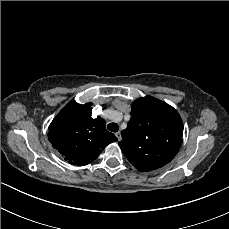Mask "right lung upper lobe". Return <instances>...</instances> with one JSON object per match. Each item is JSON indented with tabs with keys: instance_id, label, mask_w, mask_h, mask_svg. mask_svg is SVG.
Instances as JSON below:
<instances>
[{
	"instance_id": "cb5924a9",
	"label": "right lung upper lobe",
	"mask_w": 229,
	"mask_h": 229,
	"mask_svg": "<svg viewBox=\"0 0 229 229\" xmlns=\"http://www.w3.org/2000/svg\"><path fill=\"white\" fill-rule=\"evenodd\" d=\"M91 105L72 100L49 126L50 143L73 165H87L107 145L118 140L113 133L106 131L104 119L91 117Z\"/></svg>"
}]
</instances>
